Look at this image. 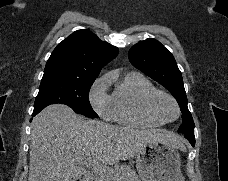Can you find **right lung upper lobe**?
I'll use <instances>...</instances> for the list:
<instances>
[{"mask_svg": "<svg viewBox=\"0 0 228 181\" xmlns=\"http://www.w3.org/2000/svg\"><path fill=\"white\" fill-rule=\"evenodd\" d=\"M118 51L89 30L75 31L54 49L43 77L95 80L101 68L114 59Z\"/></svg>", "mask_w": 228, "mask_h": 181, "instance_id": "right-lung-upper-lobe-1", "label": "right lung upper lobe"}]
</instances>
